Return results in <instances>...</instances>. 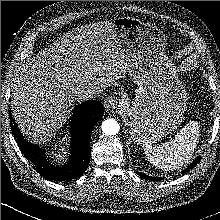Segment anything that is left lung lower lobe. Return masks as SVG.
<instances>
[{"label": "left lung lower lobe", "instance_id": "0a47b994", "mask_svg": "<svg viewBox=\"0 0 220 220\" xmlns=\"http://www.w3.org/2000/svg\"><path fill=\"white\" fill-rule=\"evenodd\" d=\"M200 159H201V157H198L187 169H185V171L192 169L199 162ZM185 171H183V172H185ZM138 174H139V176H141L142 178L147 179V180H153V181L161 180V178L151 177V176H148V175H145L142 173H138Z\"/></svg>", "mask_w": 220, "mask_h": 220}]
</instances>
